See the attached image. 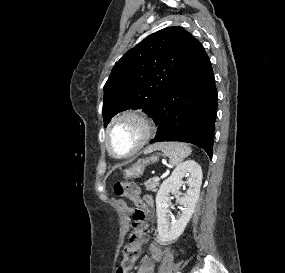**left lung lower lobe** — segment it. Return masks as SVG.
<instances>
[{
  "instance_id": "1",
  "label": "left lung lower lobe",
  "mask_w": 285,
  "mask_h": 273,
  "mask_svg": "<svg viewBox=\"0 0 285 273\" xmlns=\"http://www.w3.org/2000/svg\"><path fill=\"white\" fill-rule=\"evenodd\" d=\"M217 90L208 55L193 37L182 68L150 117L158 125L153 142L182 141L212 157Z\"/></svg>"
}]
</instances>
